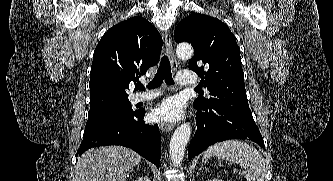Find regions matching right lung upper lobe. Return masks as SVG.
<instances>
[{
    "mask_svg": "<svg viewBox=\"0 0 333 181\" xmlns=\"http://www.w3.org/2000/svg\"><path fill=\"white\" fill-rule=\"evenodd\" d=\"M162 38L142 17H132L110 28L95 51L90 76L91 109L128 100L130 82L158 63Z\"/></svg>",
    "mask_w": 333,
    "mask_h": 181,
    "instance_id": "obj_1",
    "label": "right lung upper lobe"
}]
</instances>
